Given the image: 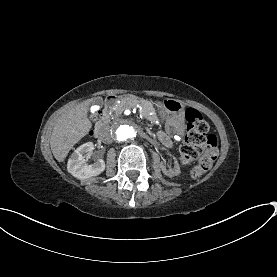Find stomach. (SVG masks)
I'll return each instance as SVG.
<instances>
[{"mask_svg": "<svg viewBox=\"0 0 277 277\" xmlns=\"http://www.w3.org/2000/svg\"><path fill=\"white\" fill-rule=\"evenodd\" d=\"M156 106L169 130L181 132L185 128V106L180 100L167 98L157 102Z\"/></svg>", "mask_w": 277, "mask_h": 277, "instance_id": "obj_1", "label": "stomach"}]
</instances>
